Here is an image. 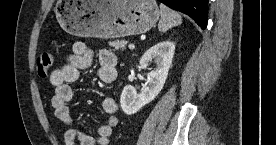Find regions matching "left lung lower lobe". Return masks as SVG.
Segmentation results:
<instances>
[{"label":"left lung lower lobe","instance_id":"0a47b994","mask_svg":"<svg viewBox=\"0 0 276 145\" xmlns=\"http://www.w3.org/2000/svg\"><path fill=\"white\" fill-rule=\"evenodd\" d=\"M170 8L187 14L202 28L207 26L208 0H159Z\"/></svg>","mask_w":276,"mask_h":145}]
</instances>
